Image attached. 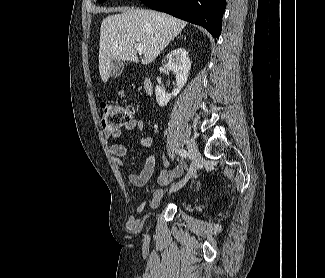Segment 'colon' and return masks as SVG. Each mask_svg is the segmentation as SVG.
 I'll return each mask as SVG.
<instances>
[{"label":"colon","mask_w":325,"mask_h":278,"mask_svg":"<svg viewBox=\"0 0 325 278\" xmlns=\"http://www.w3.org/2000/svg\"><path fill=\"white\" fill-rule=\"evenodd\" d=\"M120 96L125 94L120 92ZM102 127L105 130H115L128 123L133 116V108L129 104L102 102Z\"/></svg>","instance_id":"5ec220e1"}]
</instances>
